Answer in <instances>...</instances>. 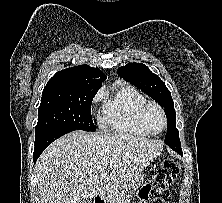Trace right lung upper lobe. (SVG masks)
Here are the masks:
<instances>
[{
	"mask_svg": "<svg viewBox=\"0 0 222 203\" xmlns=\"http://www.w3.org/2000/svg\"><path fill=\"white\" fill-rule=\"evenodd\" d=\"M105 74L99 68L88 65H79L57 72L47 83L44 89H93L99 90Z\"/></svg>",
	"mask_w": 222,
	"mask_h": 203,
	"instance_id": "cb5924a9",
	"label": "right lung upper lobe"
}]
</instances>
